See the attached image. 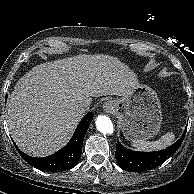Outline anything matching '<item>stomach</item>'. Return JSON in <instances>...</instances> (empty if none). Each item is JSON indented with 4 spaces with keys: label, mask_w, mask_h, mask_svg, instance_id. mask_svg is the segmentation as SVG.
Masks as SVG:
<instances>
[{
    "label": "stomach",
    "mask_w": 194,
    "mask_h": 194,
    "mask_svg": "<svg viewBox=\"0 0 194 194\" xmlns=\"http://www.w3.org/2000/svg\"><path fill=\"white\" fill-rule=\"evenodd\" d=\"M110 110L120 122L127 139L148 140L160 130L161 104L156 92L146 85L137 84L120 99L110 100Z\"/></svg>",
    "instance_id": "0dacf381"
}]
</instances>
